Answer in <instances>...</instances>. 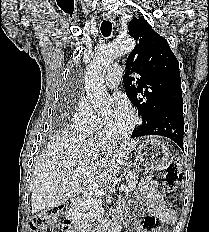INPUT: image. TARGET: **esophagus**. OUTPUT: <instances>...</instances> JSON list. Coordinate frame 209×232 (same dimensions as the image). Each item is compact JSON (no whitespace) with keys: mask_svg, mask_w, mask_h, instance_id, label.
Returning a JSON list of instances; mask_svg holds the SVG:
<instances>
[{"mask_svg":"<svg viewBox=\"0 0 209 232\" xmlns=\"http://www.w3.org/2000/svg\"><path fill=\"white\" fill-rule=\"evenodd\" d=\"M103 16H104V19L109 20L113 23H115V21H116L115 16L111 12H106L103 14Z\"/></svg>","mask_w":209,"mask_h":232,"instance_id":"34e87169","label":"esophagus"}]
</instances>
